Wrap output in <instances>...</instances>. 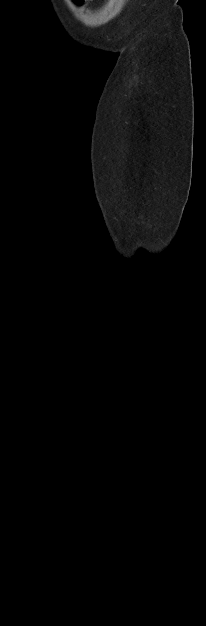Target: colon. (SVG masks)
I'll return each instance as SVG.
<instances>
[{"instance_id":"5ec220e1","label":"colon","mask_w":206,"mask_h":626,"mask_svg":"<svg viewBox=\"0 0 206 626\" xmlns=\"http://www.w3.org/2000/svg\"><path fill=\"white\" fill-rule=\"evenodd\" d=\"M86 0H75L77 4H83Z\"/></svg>"}]
</instances>
